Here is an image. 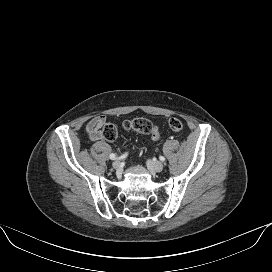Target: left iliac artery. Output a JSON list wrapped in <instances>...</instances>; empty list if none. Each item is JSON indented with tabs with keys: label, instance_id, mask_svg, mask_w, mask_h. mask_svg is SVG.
<instances>
[{
	"label": "left iliac artery",
	"instance_id": "obj_1",
	"mask_svg": "<svg viewBox=\"0 0 272 272\" xmlns=\"http://www.w3.org/2000/svg\"><path fill=\"white\" fill-rule=\"evenodd\" d=\"M159 159H160L161 161H165V158H164L163 156H160Z\"/></svg>",
	"mask_w": 272,
	"mask_h": 272
}]
</instances>
